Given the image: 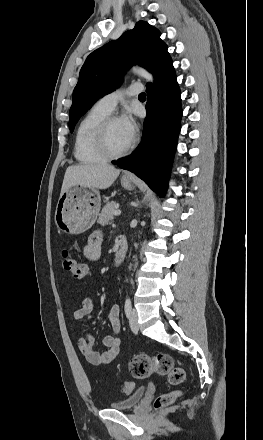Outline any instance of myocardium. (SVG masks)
<instances>
[{
	"instance_id": "myocardium-1",
	"label": "myocardium",
	"mask_w": 263,
	"mask_h": 440,
	"mask_svg": "<svg viewBox=\"0 0 263 440\" xmlns=\"http://www.w3.org/2000/svg\"><path fill=\"white\" fill-rule=\"evenodd\" d=\"M118 119L119 118L117 115L108 114L99 122L95 130V135H94L95 148L107 160L118 159L126 156L131 151L134 145V140L132 139L131 142L128 144V146L124 148L122 151L113 152L110 150L107 142V130L109 125L113 121Z\"/></svg>"
}]
</instances>
